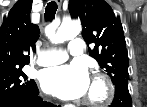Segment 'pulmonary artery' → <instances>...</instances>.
I'll list each match as a JSON object with an SVG mask.
<instances>
[{"label":"pulmonary artery","instance_id":"1","mask_svg":"<svg viewBox=\"0 0 147 107\" xmlns=\"http://www.w3.org/2000/svg\"><path fill=\"white\" fill-rule=\"evenodd\" d=\"M82 39L75 38L70 41L68 46V52L58 49L44 50L38 59L40 66H50L62 63L68 59V53L71 55H80L83 52Z\"/></svg>","mask_w":147,"mask_h":107}]
</instances>
